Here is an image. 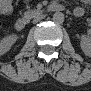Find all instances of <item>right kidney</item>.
<instances>
[{
    "instance_id": "right-kidney-1",
    "label": "right kidney",
    "mask_w": 91,
    "mask_h": 91,
    "mask_svg": "<svg viewBox=\"0 0 91 91\" xmlns=\"http://www.w3.org/2000/svg\"><path fill=\"white\" fill-rule=\"evenodd\" d=\"M17 39L18 36L14 34L3 38L0 41L1 54H5L6 52H8L11 49L12 45L17 41Z\"/></svg>"
}]
</instances>
